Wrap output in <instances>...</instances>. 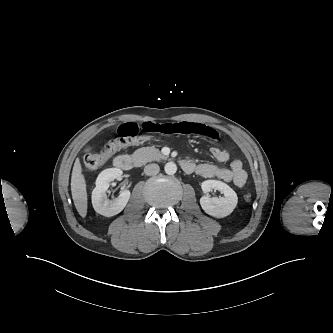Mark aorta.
I'll list each match as a JSON object with an SVG mask.
<instances>
[{"mask_svg": "<svg viewBox=\"0 0 333 333\" xmlns=\"http://www.w3.org/2000/svg\"><path fill=\"white\" fill-rule=\"evenodd\" d=\"M164 171L168 175H173L177 171V166L174 162H168L164 166Z\"/></svg>", "mask_w": 333, "mask_h": 333, "instance_id": "762f6f07", "label": "aorta"}]
</instances>
